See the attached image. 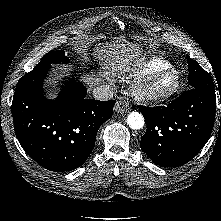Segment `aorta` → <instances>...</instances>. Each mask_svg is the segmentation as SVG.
Masks as SVG:
<instances>
[{
  "instance_id": "aorta-1",
  "label": "aorta",
  "mask_w": 221,
  "mask_h": 221,
  "mask_svg": "<svg viewBox=\"0 0 221 221\" xmlns=\"http://www.w3.org/2000/svg\"><path fill=\"white\" fill-rule=\"evenodd\" d=\"M127 124L131 129L138 130L144 126V118L142 114L138 112H131L127 117Z\"/></svg>"
}]
</instances>
